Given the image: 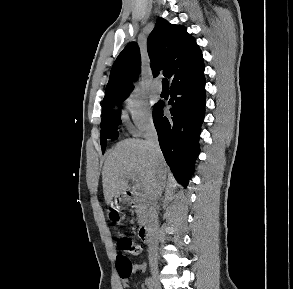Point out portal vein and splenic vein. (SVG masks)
<instances>
[{
    "mask_svg": "<svg viewBox=\"0 0 293 289\" xmlns=\"http://www.w3.org/2000/svg\"><path fill=\"white\" fill-rule=\"evenodd\" d=\"M132 179L135 180V181L137 182V184H136V188H137L138 190H143L141 184L139 183L138 178L133 176Z\"/></svg>",
    "mask_w": 293,
    "mask_h": 289,
    "instance_id": "1",
    "label": "portal vein and splenic vein"
}]
</instances>
